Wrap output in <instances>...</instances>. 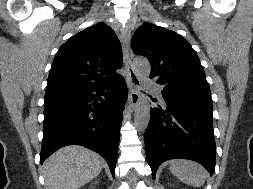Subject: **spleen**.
Wrapping results in <instances>:
<instances>
[{
	"label": "spleen",
	"mask_w": 253,
	"mask_h": 189,
	"mask_svg": "<svg viewBox=\"0 0 253 189\" xmlns=\"http://www.w3.org/2000/svg\"><path fill=\"white\" fill-rule=\"evenodd\" d=\"M170 171L186 184L201 186L206 179V171L196 162L190 160H172L169 162Z\"/></svg>",
	"instance_id": "spleen-1"
}]
</instances>
